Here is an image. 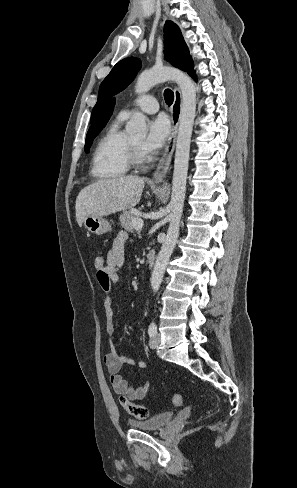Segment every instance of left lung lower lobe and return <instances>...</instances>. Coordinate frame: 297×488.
<instances>
[{
	"label": "left lung lower lobe",
	"mask_w": 297,
	"mask_h": 488,
	"mask_svg": "<svg viewBox=\"0 0 297 488\" xmlns=\"http://www.w3.org/2000/svg\"><path fill=\"white\" fill-rule=\"evenodd\" d=\"M192 77H193L194 79H196V76H195V75H193Z\"/></svg>",
	"instance_id": "1"
}]
</instances>
